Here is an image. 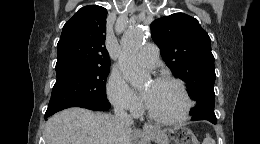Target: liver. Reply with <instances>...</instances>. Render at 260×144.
I'll use <instances>...</instances> for the list:
<instances>
[{
	"instance_id": "obj_1",
	"label": "liver",
	"mask_w": 260,
	"mask_h": 144,
	"mask_svg": "<svg viewBox=\"0 0 260 144\" xmlns=\"http://www.w3.org/2000/svg\"><path fill=\"white\" fill-rule=\"evenodd\" d=\"M132 128L114 115L69 108L50 117L46 144H130Z\"/></svg>"
}]
</instances>
